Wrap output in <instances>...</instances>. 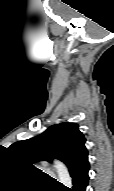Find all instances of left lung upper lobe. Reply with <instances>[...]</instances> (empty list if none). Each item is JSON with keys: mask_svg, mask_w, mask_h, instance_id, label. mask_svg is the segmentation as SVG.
Instances as JSON below:
<instances>
[{"mask_svg": "<svg viewBox=\"0 0 114 191\" xmlns=\"http://www.w3.org/2000/svg\"><path fill=\"white\" fill-rule=\"evenodd\" d=\"M85 142L78 124L64 122L49 127L34 138L15 142L8 149L16 159L32 167V163L38 161L59 159L72 175L88 160Z\"/></svg>", "mask_w": 114, "mask_h": 191, "instance_id": "obj_1", "label": "left lung upper lobe"}]
</instances>
